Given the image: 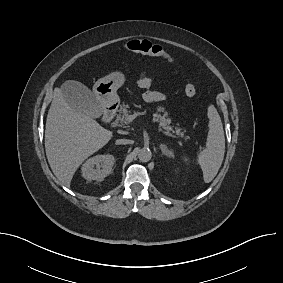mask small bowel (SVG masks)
Segmentation results:
<instances>
[{
  "mask_svg": "<svg viewBox=\"0 0 283 283\" xmlns=\"http://www.w3.org/2000/svg\"><path fill=\"white\" fill-rule=\"evenodd\" d=\"M155 78L151 74L147 72H143L137 78V85L142 88L146 89L143 94V98L148 103L159 102L165 99V95L158 91L148 90L151 85L154 83Z\"/></svg>",
  "mask_w": 283,
  "mask_h": 283,
  "instance_id": "small-bowel-1",
  "label": "small bowel"
}]
</instances>
